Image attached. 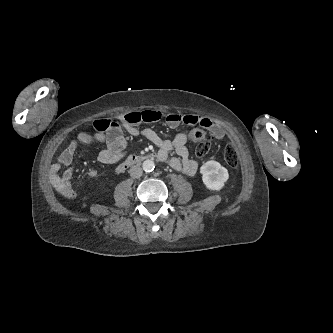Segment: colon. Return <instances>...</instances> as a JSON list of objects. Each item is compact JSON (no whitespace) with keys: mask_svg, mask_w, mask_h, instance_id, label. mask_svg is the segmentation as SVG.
I'll return each instance as SVG.
<instances>
[{"mask_svg":"<svg viewBox=\"0 0 333 333\" xmlns=\"http://www.w3.org/2000/svg\"><path fill=\"white\" fill-rule=\"evenodd\" d=\"M120 127V120L104 118L98 119L94 122V128L97 132H113ZM189 140L198 143L195 153L196 156L202 158L206 156L210 150L211 135L209 132L203 129H193L188 134ZM225 163L231 168L238 166V155L235 147L232 144H228L223 153Z\"/></svg>","mask_w":333,"mask_h":333,"instance_id":"1","label":"colon"}]
</instances>
